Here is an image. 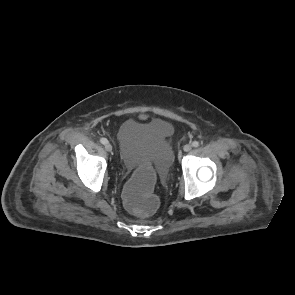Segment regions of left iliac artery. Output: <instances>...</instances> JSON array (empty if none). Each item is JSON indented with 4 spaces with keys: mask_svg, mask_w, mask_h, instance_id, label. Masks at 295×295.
<instances>
[{
    "mask_svg": "<svg viewBox=\"0 0 295 295\" xmlns=\"http://www.w3.org/2000/svg\"><path fill=\"white\" fill-rule=\"evenodd\" d=\"M192 146L193 147H198L199 146V142L198 141H193L192 142Z\"/></svg>",
    "mask_w": 295,
    "mask_h": 295,
    "instance_id": "44dca946",
    "label": "left iliac artery"
}]
</instances>
